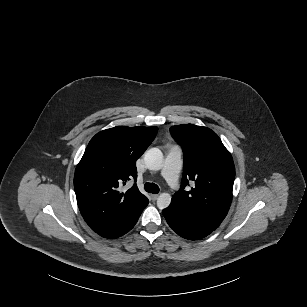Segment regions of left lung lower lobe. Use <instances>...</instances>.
<instances>
[{
    "label": "left lung lower lobe",
    "instance_id": "left-lung-lower-lobe-1",
    "mask_svg": "<svg viewBox=\"0 0 307 307\" xmlns=\"http://www.w3.org/2000/svg\"><path fill=\"white\" fill-rule=\"evenodd\" d=\"M162 213L169 226L183 238L190 240L201 239L214 231L212 228L195 221L185 214L177 203L171 202Z\"/></svg>",
    "mask_w": 307,
    "mask_h": 307
}]
</instances>
